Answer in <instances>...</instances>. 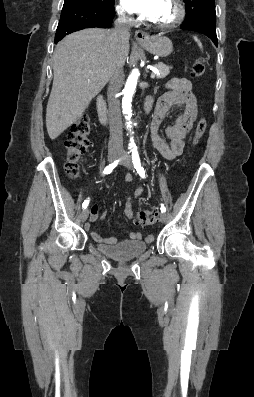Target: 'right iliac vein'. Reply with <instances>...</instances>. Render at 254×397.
<instances>
[{
    "mask_svg": "<svg viewBox=\"0 0 254 397\" xmlns=\"http://www.w3.org/2000/svg\"><path fill=\"white\" fill-rule=\"evenodd\" d=\"M120 154L117 152H111L108 155V162H114L119 158ZM89 215V209L85 208L81 213V221L85 222Z\"/></svg>",
    "mask_w": 254,
    "mask_h": 397,
    "instance_id": "1",
    "label": "right iliac vein"
}]
</instances>
